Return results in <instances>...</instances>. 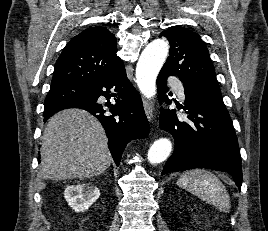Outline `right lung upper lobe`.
I'll return each mask as SVG.
<instances>
[{
  "mask_svg": "<svg viewBox=\"0 0 268 231\" xmlns=\"http://www.w3.org/2000/svg\"><path fill=\"white\" fill-rule=\"evenodd\" d=\"M116 52V37L106 28L93 27L82 31L70 40L59 56L51 86H90L123 63ZM61 103H48L45 107Z\"/></svg>",
  "mask_w": 268,
  "mask_h": 231,
  "instance_id": "right-lung-upper-lobe-1",
  "label": "right lung upper lobe"
}]
</instances>
